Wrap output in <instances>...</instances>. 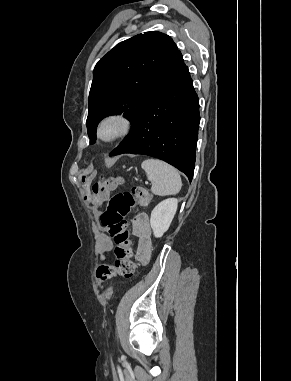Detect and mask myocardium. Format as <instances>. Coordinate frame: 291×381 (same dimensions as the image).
<instances>
[{"mask_svg": "<svg viewBox=\"0 0 291 381\" xmlns=\"http://www.w3.org/2000/svg\"><path fill=\"white\" fill-rule=\"evenodd\" d=\"M108 125H114L115 130L112 134L105 136L103 131ZM132 126L133 122L126 114L119 112L110 113L102 117L98 122L96 137L100 142L110 144L126 137L130 133Z\"/></svg>", "mask_w": 291, "mask_h": 381, "instance_id": "f54148a6", "label": "myocardium"}]
</instances>
